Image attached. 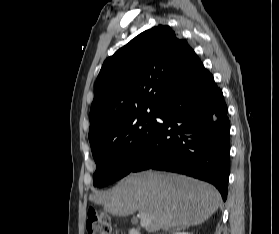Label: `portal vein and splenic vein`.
Segmentation results:
<instances>
[{
  "instance_id": "obj_1",
  "label": "portal vein and splenic vein",
  "mask_w": 279,
  "mask_h": 234,
  "mask_svg": "<svg viewBox=\"0 0 279 234\" xmlns=\"http://www.w3.org/2000/svg\"><path fill=\"white\" fill-rule=\"evenodd\" d=\"M139 216H140V225L142 227H148L151 223L150 218L144 213H140Z\"/></svg>"
}]
</instances>
